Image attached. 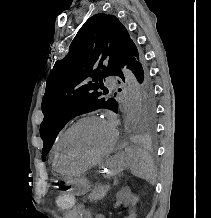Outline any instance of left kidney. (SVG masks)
Returning a JSON list of instances; mask_svg holds the SVG:
<instances>
[{"label":"left kidney","instance_id":"5707ae66","mask_svg":"<svg viewBox=\"0 0 211 218\" xmlns=\"http://www.w3.org/2000/svg\"><path fill=\"white\" fill-rule=\"evenodd\" d=\"M135 204L136 203H132V198H120V202L117 203L115 209L123 210L124 207H127V210H124L123 214L130 215V218H135V215H137Z\"/></svg>","mask_w":211,"mask_h":218}]
</instances>
